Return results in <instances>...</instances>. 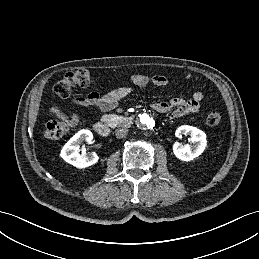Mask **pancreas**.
<instances>
[{"label":"pancreas","instance_id":"cf45deb5","mask_svg":"<svg viewBox=\"0 0 259 259\" xmlns=\"http://www.w3.org/2000/svg\"><path fill=\"white\" fill-rule=\"evenodd\" d=\"M102 119L111 127H115L117 124L120 123L128 124L130 122V119L128 117L117 115H105Z\"/></svg>","mask_w":259,"mask_h":259}]
</instances>
